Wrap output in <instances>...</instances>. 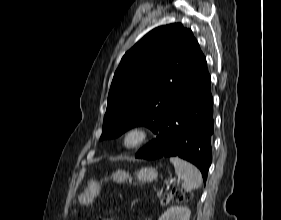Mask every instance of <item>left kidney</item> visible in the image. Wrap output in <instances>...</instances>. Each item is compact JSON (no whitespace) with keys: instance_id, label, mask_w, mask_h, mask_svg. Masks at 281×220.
Wrapping results in <instances>:
<instances>
[{"instance_id":"1","label":"left kidney","mask_w":281,"mask_h":220,"mask_svg":"<svg viewBox=\"0 0 281 220\" xmlns=\"http://www.w3.org/2000/svg\"><path fill=\"white\" fill-rule=\"evenodd\" d=\"M191 211L186 206H172L167 209L159 220H189Z\"/></svg>"}]
</instances>
